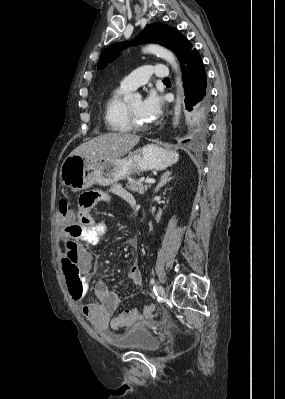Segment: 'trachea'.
<instances>
[{
	"instance_id": "obj_1",
	"label": "trachea",
	"mask_w": 285,
	"mask_h": 399,
	"mask_svg": "<svg viewBox=\"0 0 285 399\" xmlns=\"http://www.w3.org/2000/svg\"><path fill=\"white\" fill-rule=\"evenodd\" d=\"M163 81H165V82H166V81H170V80H169V78H165V79H163Z\"/></svg>"
}]
</instances>
